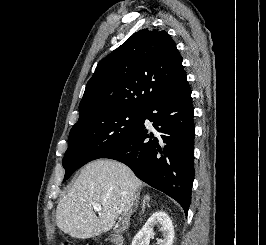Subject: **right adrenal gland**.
I'll return each mask as SVG.
<instances>
[{
    "mask_svg": "<svg viewBox=\"0 0 266 245\" xmlns=\"http://www.w3.org/2000/svg\"><path fill=\"white\" fill-rule=\"evenodd\" d=\"M147 199H148V201H149V197H148V195H146V197H143V201H142V203H143V205H144V207H142V211H143V213H144V211H145V205H146V201H147Z\"/></svg>",
    "mask_w": 266,
    "mask_h": 245,
    "instance_id": "right-adrenal-gland-1",
    "label": "right adrenal gland"
}]
</instances>
